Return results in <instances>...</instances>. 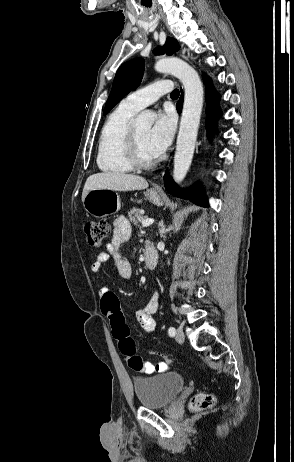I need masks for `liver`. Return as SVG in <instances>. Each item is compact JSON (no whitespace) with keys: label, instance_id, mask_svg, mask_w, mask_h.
<instances>
[{"label":"liver","instance_id":"1","mask_svg":"<svg viewBox=\"0 0 294 462\" xmlns=\"http://www.w3.org/2000/svg\"><path fill=\"white\" fill-rule=\"evenodd\" d=\"M148 187L143 177L119 172L96 173L89 176L82 192V201L92 189H108L113 191L141 190Z\"/></svg>","mask_w":294,"mask_h":462}]
</instances>
